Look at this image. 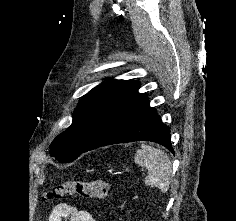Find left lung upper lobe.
Segmentation results:
<instances>
[{
    "label": "left lung upper lobe",
    "mask_w": 236,
    "mask_h": 221,
    "mask_svg": "<svg viewBox=\"0 0 236 221\" xmlns=\"http://www.w3.org/2000/svg\"><path fill=\"white\" fill-rule=\"evenodd\" d=\"M133 80H109L93 88L79 102L71 126L51 143L49 153L59 162L75 160L105 119L139 88Z\"/></svg>",
    "instance_id": "left-lung-upper-lobe-1"
}]
</instances>
